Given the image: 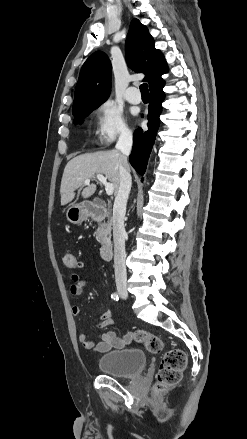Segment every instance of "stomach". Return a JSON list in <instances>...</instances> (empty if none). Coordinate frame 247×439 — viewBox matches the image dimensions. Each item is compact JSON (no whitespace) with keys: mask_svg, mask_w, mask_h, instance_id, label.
<instances>
[{"mask_svg":"<svg viewBox=\"0 0 247 439\" xmlns=\"http://www.w3.org/2000/svg\"><path fill=\"white\" fill-rule=\"evenodd\" d=\"M89 216V210L85 203L73 204L66 212V218L73 224H80Z\"/></svg>","mask_w":247,"mask_h":439,"instance_id":"stomach-1","label":"stomach"}]
</instances>
